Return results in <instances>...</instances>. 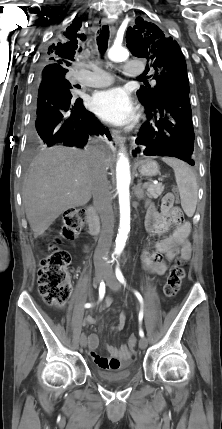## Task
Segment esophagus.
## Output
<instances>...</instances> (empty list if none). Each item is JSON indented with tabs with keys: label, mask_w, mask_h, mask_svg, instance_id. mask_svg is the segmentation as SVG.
Instances as JSON below:
<instances>
[{
	"label": "esophagus",
	"mask_w": 222,
	"mask_h": 429,
	"mask_svg": "<svg viewBox=\"0 0 222 429\" xmlns=\"http://www.w3.org/2000/svg\"><path fill=\"white\" fill-rule=\"evenodd\" d=\"M102 25H110V26H111V32H112V33H115V28H114V26L112 25V21H111V20H109L108 18H103V19H102ZM112 137H113V140H114V142H115L116 144L120 145V144H122V143H123V138H122V136L120 135V132H119V131H117V130H112Z\"/></svg>",
	"instance_id": "obj_1"
}]
</instances>
